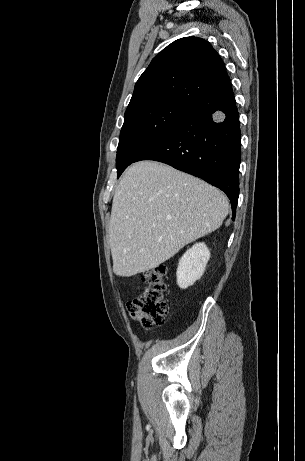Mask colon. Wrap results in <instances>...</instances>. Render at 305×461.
Returning <instances> with one entry per match:
<instances>
[{
    "label": "colon",
    "instance_id": "1",
    "mask_svg": "<svg viewBox=\"0 0 305 461\" xmlns=\"http://www.w3.org/2000/svg\"><path fill=\"white\" fill-rule=\"evenodd\" d=\"M167 267L158 266L146 272L140 294L127 304L129 315L145 329L161 325L168 313L165 299Z\"/></svg>",
    "mask_w": 305,
    "mask_h": 461
}]
</instances>
